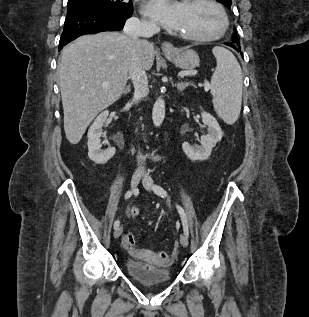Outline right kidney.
<instances>
[{
    "instance_id": "obj_1",
    "label": "right kidney",
    "mask_w": 309,
    "mask_h": 317,
    "mask_svg": "<svg viewBox=\"0 0 309 317\" xmlns=\"http://www.w3.org/2000/svg\"><path fill=\"white\" fill-rule=\"evenodd\" d=\"M109 112H102L93 122L88 130V156L96 164H105L115 155V148L111 147L102 150L100 137L102 135V126L107 121Z\"/></svg>"
}]
</instances>
